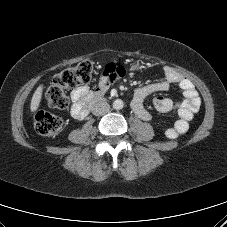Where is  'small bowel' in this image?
<instances>
[{
  "label": "small bowel",
  "instance_id": "small-bowel-1",
  "mask_svg": "<svg viewBox=\"0 0 227 227\" xmlns=\"http://www.w3.org/2000/svg\"><path fill=\"white\" fill-rule=\"evenodd\" d=\"M124 73L125 70L122 66L109 63L104 67L101 78L94 91H91L86 85L75 88L71 92V99L73 101L71 115L76 119H83L86 116L85 107L89 98L93 95H102ZM164 75L165 79L163 81L137 88L133 94L131 108L136 116L144 121H148L152 118V115L144 106L145 99L154 93L168 90L172 84L178 85L183 92V100L173 101L170 98L162 96L154 98V106L158 112H172L178 115V119L165 131V136L168 139L174 140L188 131L189 124L194 119L195 113L200 107L201 100L194 84L175 69L165 66Z\"/></svg>",
  "mask_w": 227,
  "mask_h": 227
}]
</instances>
